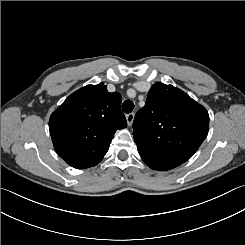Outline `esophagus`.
Listing matches in <instances>:
<instances>
[{
    "label": "esophagus",
    "instance_id": "esophagus-1",
    "mask_svg": "<svg viewBox=\"0 0 245 245\" xmlns=\"http://www.w3.org/2000/svg\"><path fill=\"white\" fill-rule=\"evenodd\" d=\"M126 119H127V124L131 126L134 120V113H128L126 115Z\"/></svg>",
    "mask_w": 245,
    "mask_h": 245
}]
</instances>
